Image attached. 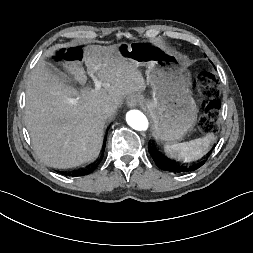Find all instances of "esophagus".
<instances>
[{
    "instance_id": "34e87169",
    "label": "esophagus",
    "mask_w": 253,
    "mask_h": 253,
    "mask_svg": "<svg viewBox=\"0 0 253 253\" xmlns=\"http://www.w3.org/2000/svg\"><path fill=\"white\" fill-rule=\"evenodd\" d=\"M140 102V99L137 95H131L128 100H127V104L130 108H134L138 105V103Z\"/></svg>"
}]
</instances>
